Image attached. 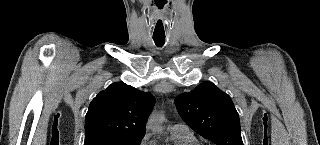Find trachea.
Here are the masks:
<instances>
[{
  "instance_id": "1",
  "label": "trachea",
  "mask_w": 320,
  "mask_h": 145,
  "mask_svg": "<svg viewBox=\"0 0 320 145\" xmlns=\"http://www.w3.org/2000/svg\"><path fill=\"white\" fill-rule=\"evenodd\" d=\"M153 40L157 47H162L165 44V37L153 36Z\"/></svg>"
}]
</instances>
